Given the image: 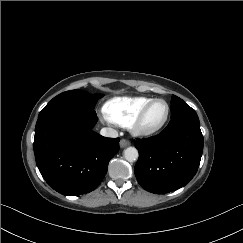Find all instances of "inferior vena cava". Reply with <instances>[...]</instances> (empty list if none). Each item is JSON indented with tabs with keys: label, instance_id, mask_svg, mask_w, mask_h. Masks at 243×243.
Returning <instances> with one entry per match:
<instances>
[{
	"label": "inferior vena cava",
	"instance_id": "602c4592",
	"mask_svg": "<svg viewBox=\"0 0 243 243\" xmlns=\"http://www.w3.org/2000/svg\"><path fill=\"white\" fill-rule=\"evenodd\" d=\"M100 134L104 137L117 138L118 132L113 128H102Z\"/></svg>",
	"mask_w": 243,
	"mask_h": 243
}]
</instances>
